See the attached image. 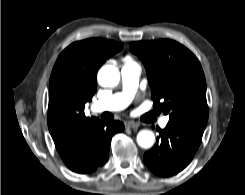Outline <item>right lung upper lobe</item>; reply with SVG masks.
I'll use <instances>...</instances> for the list:
<instances>
[{
    "label": "right lung upper lobe",
    "instance_id": "cb5924a9",
    "mask_svg": "<svg viewBox=\"0 0 245 195\" xmlns=\"http://www.w3.org/2000/svg\"><path fill=\"white\" fill-rule=\"evenodd\" d=\"M121 43L101 38L74 42L57 58L49 85L48 128L64 161H76L99 118L84 114L85 103L97 89V71Z\"/></svg>",
    "mask_w": 245,
    "mask_h": 195
}]
</instances>
